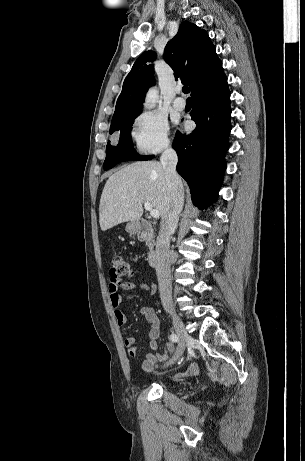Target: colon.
Returning <instances> with one entry per match:
<instances>
[{
  "label": "colon",
  "instance_id": "colon-1",
  "mask_svg": "<svg viewBox=\"0 0 305 461\" xmlns=\"http://www.w3.org/2000/svg\"><path fill=\"white\" fill-rule=\"evenodd\" d=\"M132 269L129 263L121 255H113L110 259V276L112 279L119 280L130 277Z\"/></svg>",
  "mask_w": 305,
  "mask_h": 461
}]
</instances>
